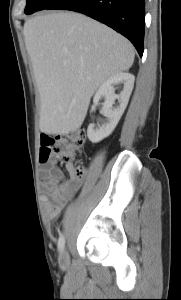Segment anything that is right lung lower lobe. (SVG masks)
Returning a JSON list of instances; mask_svg holds the SVG:
<instances>
[{
	"mask_svg": "<svg viewBox=\"0 0 181 300\" xmlns=\"http://www.w3.org/2000/svg\"><path fill=\"white\" fill-rule=\"evenodd\" d=\"M46 9L90 16L127 37L140 57L143 55L145 0H55Z\"/></svg>",
	"mask_w": 181,
	"mask_h": 300,
	"instance_id": "right-lung-lower-lobe-1",
	"label": "right lung lower lobe"
}]
</instances>
